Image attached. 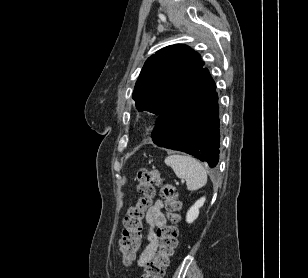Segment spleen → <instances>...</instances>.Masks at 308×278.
<instances>
[{
	"instance_id": "3e777b00",
	"label": "spleen",
	"mask_w": 308,
	"mask_h": 278,
	"mask_svg": "<svg viewBox=\"0 0 308 278\" xmlns=\"http://www.w3.org/2000/svg\"><path fill=\"white\" fill-rule=\"evenodd\" d=\"M165 164L170 166L176 176L186 180L187 189L195 191L205 186L207 173L202 164L189 155L172 154L165 158Z\"/></svg>"
}]
</instances>
